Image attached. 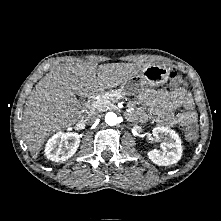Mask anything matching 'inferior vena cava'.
<instances>
[{"label": "inferior vena cava", "instance_id": "1", "mask_svg": "<svg viewBox=\"0 0 221 221\" xmlns=\"http://www.w3.org/2000/svg\"><path fill=\"white\" fill-rule=\"evenodd\" d=\"M97 119V114L96 113H91L89 114L86 119L85 122L89 125L93 124Z\"/></svg>", "mask_w": 221, "mask_h": 221}]
</instances>
